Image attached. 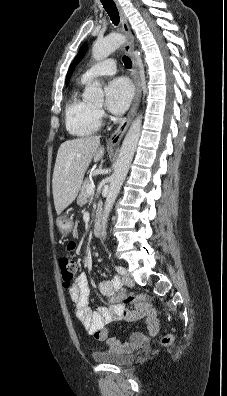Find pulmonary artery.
Segmentation results:
<instances>
[{
  "label": "pulmonary artery",
  "mask_w": 227,
  "mask_h": 396,
  "mask_svg": "<svg viewBox=\"0 0 227 396\" xmlns=\"http://www.w3.org/2000/svg\"><path fill=\"white\" fill-rule=\"evenodd\" d=\"M117 67L114 59H106L90 66L83 74L82 80L90 81L103 75H112L116 73Z\"/></svg>",
  "instance_id": "pulmonary-artery-1"
}]
</instances>
